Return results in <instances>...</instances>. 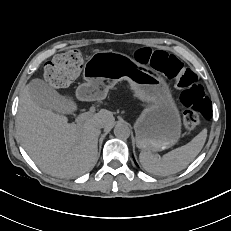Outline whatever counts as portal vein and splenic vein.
Instances as JSON below:
<instances>
[{
	"instance_id": "18ae733b",
	"label": "portal vein and splenic vein",
	"mask_w": 231,
	"mask_h": 231,
	"mask_svg": "<svg viewBox=\"0 0 231 231\" xmlns=\"http://www.w3.org/2000/svg\"><path fill=\"white\" fill-rule=\"evenodd\" d=\"M94 111H95V109L91 108L90 111L78 115L76 118V121L77 122L85 121L86 119H88L90 116H92L94 114Z\"/></svg>"
}]
</instances>
